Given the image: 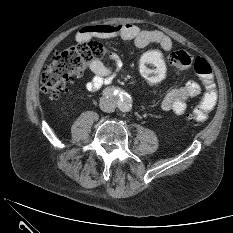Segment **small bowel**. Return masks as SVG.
Here are the masks:
<instances>
[{"label":"small bowel","mask_w":233,"mask_h":233,"mask_svg":"<svg viewBox=\"0 0 233 233\" xmlns=\"http://www.w3.org/2000/svg\"><path fill=\"white\" fill-rule=\"evenodd\" d=\"M92 37L102 39L119 37L125 41H132L138 48L156 45L164 52H169L172 49V41L167 35L160 31L143 30L135 24L88 26L79 30L76 35L79 42L89 40ZM118 66L119 59L115 55H111L106 62L98 59L91 60L88 64L91 74L86 83L87 89L90 91L109 89L114 71ZM200 92V84L195 80H189L183 86L170 90L163 97L161 108L164 111L181 115L185 113L188 101L198 96Z\"/></svg>","instance_id":"small-bowel-1"}]
</instances>
